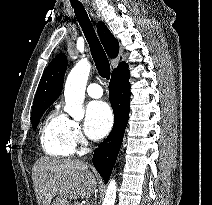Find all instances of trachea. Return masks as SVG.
Instances as JSON below:
<instances>
[{"label": "trachea", "instance_id": "trachea-1", "mask_svg": "<svg viewBox=\"0 0 212 205\" xmlns=\"http://www.w3.org/2000/svg\"><path fill=\"white\" fill-rule=\"evenodd\" d=\"M76 17L80 26L82 27L83 33L90 46L91 55L95 62L99 75L109 80L110 78V64L106 56V53L93 29V26L88 18V15L83 5L72 4Z\"/></svg>", "mask_w": 212, "mask_h": 205}]
</instances>
